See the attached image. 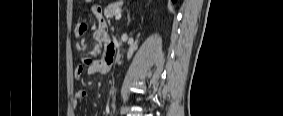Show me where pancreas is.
<instances>
[{"label": "pancreas", "instance_id": "pancreas-1", "mask_svg": "<svg viewBox=\"0 0 283 116\" xmlns=\"http://www.w3.org/2000/svg\"><path fill=\"white\" fill-rule=\"evenodd\" d=\"M120 6H121V1L108 5V7L104 10L105 17L107 19L113 18L116 11L120 10Z\"/></svg>", "mask_w": 283, "mask_h": 116}]
</instances>
